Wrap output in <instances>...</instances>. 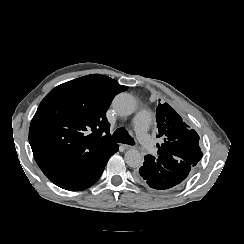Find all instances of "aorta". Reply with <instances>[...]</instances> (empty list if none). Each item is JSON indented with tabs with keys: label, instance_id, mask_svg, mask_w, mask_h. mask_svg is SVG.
<instances>
[{
	"label": "aorta",
	"instance_id": "1",
	"mask_svg": "<svg viewBox=\"0 0 244 244\" xmlns=\"http://www.w3.org/2000/svg\"><path fill=\"white\" fill-rule=\"evenodd\" d=\"M112 106L118 115L128 116L136 110V101L130 94L120 93L113 99ZM124 159L126 164L132 168H139L143 165V157L135 148L127 150Z\"/></svg>",
	"mask_w": 244,
	"mask_h": 244
}]
</instances>
